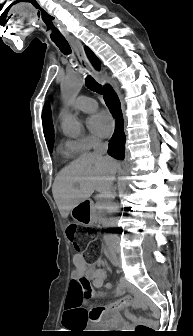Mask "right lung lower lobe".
Here are the masks:
<instances>
[{
	"label": "right lung lower lobe",
	"mask_w": 193,
	"mask_h": 336,
	"mask_svg": "<svg viewBox=\"0 0 193 336\" xmlns=\"http://www.w3.org/2000/svg\"><path fill=\"white\" fill-rule=\"evenodd\" d=\"M104 100L111 110L116 121V127L112 138L109 141L108 154L116 159L123 160L125 156V134L123 131V120L120 101L115 92L109 87L105 86Z\"/></svg>",
	"instance_id": "obj_1"
}]
</instances>
